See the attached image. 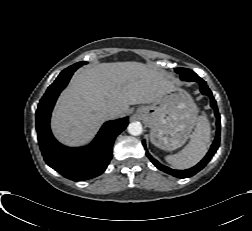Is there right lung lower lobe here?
Here are the masks:
<instances>
[{
	"instance_id": "obj_1",
	"label": "right lung lower lobe",
	"mask_w": 252,
	"mask_h": 231,
	"mask_svg": "<svg viewBox=\"0 0 252 231\" xmlns=\"http://www.w3.org/2000/svg\"><path fill=\"white\" fill-rule=\"evenodd\" d=\"M78 65L64 69L49 86L36 111V130L45 162L64 177L79 181L102 174L112 159L114 139L128 125V118L106 122L94 141L86 147L70 148L60 144L50 130V115L60 92Z\"/></svg>"
}]
</instances>
